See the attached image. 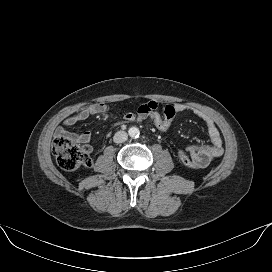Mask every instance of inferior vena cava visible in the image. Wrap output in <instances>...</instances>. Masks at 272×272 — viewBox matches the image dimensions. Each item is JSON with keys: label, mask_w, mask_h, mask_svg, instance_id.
<instances>
[{"label": "inferior vena cava", "mask_w": 272, "mask_h": 272, "mask_svg": "<svg viewBox=\"0 0 272 272\" xmlns=\"http://www.w3.org/2000/svg\"><path fill=\"white\" fill-rule=\"evenodd\" d=\"M128 135L124 131H118L115 133L113 140L115 143H123L127 140Z\"/></svg>", "instance_id": "1"}]
</instances>
